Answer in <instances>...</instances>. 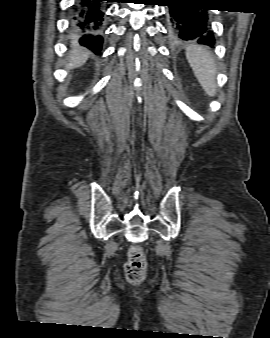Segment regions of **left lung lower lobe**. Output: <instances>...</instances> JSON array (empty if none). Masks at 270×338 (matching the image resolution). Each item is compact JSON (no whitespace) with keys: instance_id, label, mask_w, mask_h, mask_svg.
Listing matches in <instances>:
<instances>
[{"instance_id":"obj_1","label":"left lung lower lobe","mask_w":270,"mask_h":338,"mask_svg":"<svg viewBox=\"0 0 270 338\" xmlns=\"http://www.w3.org/2000/svg\"><path fill=\"white\" fill-rule=\"evenodd\" d=\"M192 0H168V30L175 43L196 41L213 46L215 39L208 24V8H198Z\"/></svg>"}]
</instances>
